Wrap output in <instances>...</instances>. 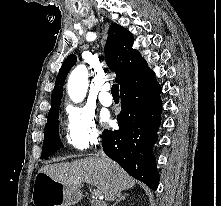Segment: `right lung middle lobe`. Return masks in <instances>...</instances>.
Instances as JSON below:
<instances>
[{"label": "right lung middle lobe", "mask_w": 221, "mask_h": 206, "mask_svg": "<svg viewBox=\"0 0 221 206\" xmlns=\"http://www.w3.org/2000/svg\"><path fill=\"white\" fill-rule=\"evenodd\" d=\"M59 107L48 114V121L45 126L44 143L42 148L41 159L47 158L55 151L62 148L63 145L59 138L58 132Z\"/></svg>", "instance_id": "dd1d6c3e"}]
</instances>
